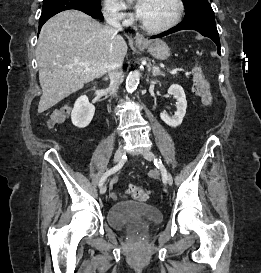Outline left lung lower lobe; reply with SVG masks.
<instances>
[{
	"mask_svg": "<svg viewBox=\"0 0 261 273\" xmlns=\"http://www.w3.org/2000/svg\"><path fill=\"white\" fill-rule=\"evenodd\" d=\"M185 29L196 30L203 36L212 39L218 47V54H220L219 34L216 28L214 12L209 2L198 3L189 10H186L185 17L180 24L151 38H160Z\"/></svg>",
	"mask_w": 261,
	"mask_h": 273,
	"instance_id": "1",
	"label": "left lung lower lobe"
}]
</instances>
